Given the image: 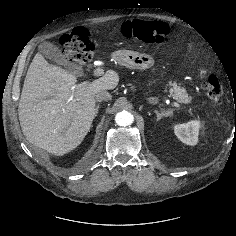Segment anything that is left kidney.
<instances>
[{
	"mask_svg": "<svg viewBox=\"0 0 236 236\" xmlns=\"http://www.w3.org/2000/svg\"><path fill=\"white\" fill-rule=\"evenodd\" d=\"M200 128L201 122L198 120H192L188 123L174 125V133L181 142L194 146L198 143Z\"/></svg>",
	"mask_w": 236,
	"mask_h": 236,
	"instance_id": "5707ae66",
	"label": "left kidney"
}]
</instances>
